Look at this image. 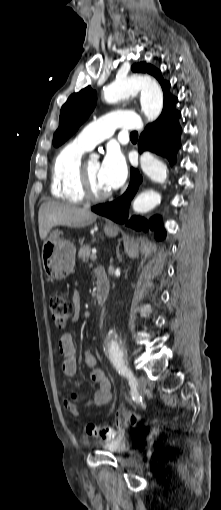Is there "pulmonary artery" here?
Returning <instances> with one entry per match:
<instances>
[{"label":"pulmonary artery","mask_w":221,"mask_h":510,"mask_svg":"<svg viewBox=\"0 0 221 510\" xmlns=\"http://www.w3.org/2000/svg\"><path fill=\"white\" fill-rule=\"evenodd\" d=\"M117 128L140 130L142 122L134 112H111L84 127L75 137V141L89 150L110 137Z\"/></svg>","instance_id":"e3ab8cb5"}]
</instances>
